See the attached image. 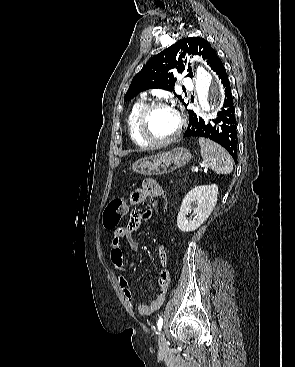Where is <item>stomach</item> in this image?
<instances>
[{
  "label": "stomach",
  "instance_id": "0dacf381",
  "mask_svg": "<svg viewBox=\"0 0 295 367\" xmlns=\"http://www.w3.org/2000/svg\"><path fill=\"white\" fill-rule=\"evenodd\" d=\"M191 158L189 150L177 147L171 151L140 159L132 167L135 172L142 175H161L185 166Z\"/></svg>",
  "mask_w": 295,
  "mask_h": 367
}]
</instances>
